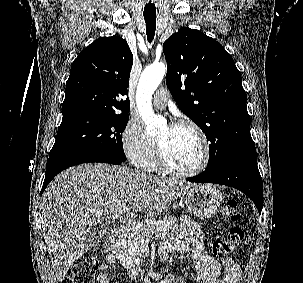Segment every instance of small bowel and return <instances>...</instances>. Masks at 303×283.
I'll list each match as a JSON object with an SVG mask.
<instances>
[{
	"mask_svg": "<svg viewBox=\"0 0 303 283\" xmlns=\"http://www.w3.org/2000/svg\"><path fill=\"white\" fill-rule=\"evenodd\" d=\"M190 252L198 273L191 279V283H238L242 271L231 258L218 260L206 250V243L199 225L189 217L180 219L174 236L163 242L159 247V258L165 260L170 254H184ZM115 262L113 256H106L99 265L98 283H110L107 271ZM224 270V275L221 274ZM161 283H180L173 275H166Z\"/></svg>",
	"mask_w": 303,
	"mask_h": 283,
	"instance_id": "c3829d8e",
	"label": "small bowel"
}]
</instances>
